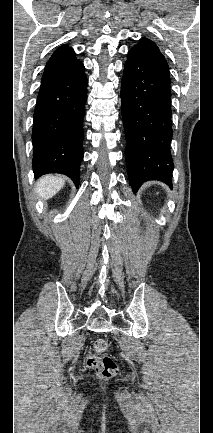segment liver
<instances>
[{"mask_svg": "<svg viewBox=\"0 0 213 433\" xmlns=\"http://www.w3.org/2000/svg\"><path fill=\"white\" fill-rule=\"evenodd\" d=\"M65 184V178L60 175H45L36 184V191L40 198H52Z\"/></svg>", "mask_w": 213, "mask_h": 433, "instance_id": "liver-1", "label": "liver"}]
</instances>
